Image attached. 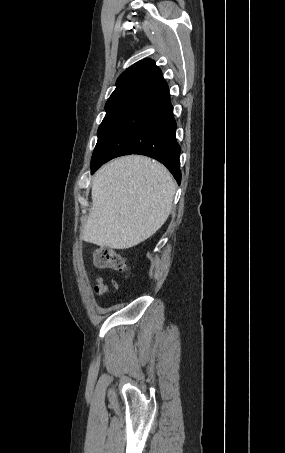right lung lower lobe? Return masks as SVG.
Listing matches in <instances>:
<instances>
[{
    "instance_id": "right-lung-lower-lobe-1",
    "label": "right lung lower lobe",
    "mask_w": 285,
    "mask_h": 453,
    "mask_svg": "<svg viewBox=\"0 0 285 453\" xmlns=\"http://www.w3.org/2000/svg\"><path fill=\"white\" fill-rule=\"evenodd\" d=\"M169 88L162 74L150 80L119 108L91 160V174L122 155L141 154L163 163L181 182L180 145Z\"/></svg>"
}]
</instances>
